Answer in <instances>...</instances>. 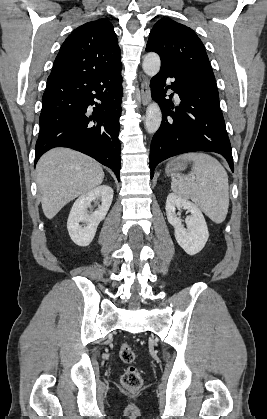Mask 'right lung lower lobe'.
Segmentation results:
<instances>
[{
    "label": "right lung lower lobe",
    "instance_id": "obj_1",
    "mask_svg": "<svg viewBox=\"0 0 267 419\" xmlns=\"http://www.w3.org/2000/svg\"><path fill=\"white\" fill-rule=\"evenodd\" d=\"M121 69L48 77L35 162L53 147H69L111 168L119 180Z\"/></svg>",
    "mask_w": 267,
    "mask_h": 419
}]
</instances>
